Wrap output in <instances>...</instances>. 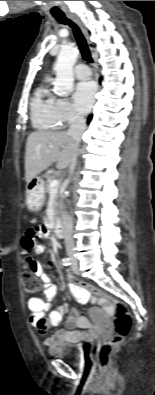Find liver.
Listing matches in <instances>:
<instances>
[{
    "mask_svg": "<svg viewBox=\"0 0 155 395\" xmlns=\"http://www.w3.org/2000/svg\"><path fill=\"white\" fill-rule=\"evenodd\" d=\"M75 151V141L67 132L43 130L32 132L26 142V183L31 182L54 162H57L58 168H66Z\"/></svg>",
    "mask_w": 155,
    "mask_h": 395,
    "instance_id": "obj_1",
    "label": "liver"
}]
</instances>
